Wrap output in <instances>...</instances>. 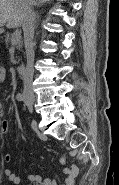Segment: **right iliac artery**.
<instances>
[{
    "instance_id": "82829eb1",
    "label": "right iliac artery",
    "mask_w": 119,
    "mask_h": 185,
    "mask_svg": "<svg viewBox=\"0 0 119 185\" xmlns=\"http://www.w3.org/2000/svg\"><path fill=\"white\" fill-rule=\"evenodd\" d=\"M23 98H24L23 95L20 94V93L16 95V99H17L18 101H23Z\"/></svg>"
}]
</instances>
